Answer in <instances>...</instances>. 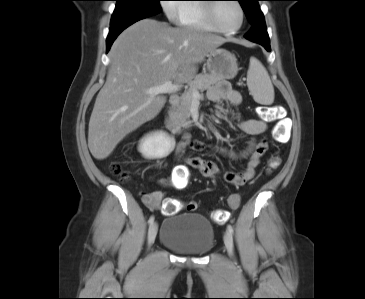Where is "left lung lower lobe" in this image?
I'll list each match as a JSON object with an SVG mask.
<instances>
[{
	"label": "left lung lower lobe",
	"mask_w": 365,
	"mask_h": 299,
	"mask_svg": "<svg viewBox=\"0 0 365 299\" xmlns=\"http://www.w3.org/2000/svg\"><path fill=\"white\" fill-rule=\"evenodd\" d=\"M245 38L261 44L267 51L271 50L265 21L253 25L251 30L245 35Z\"/></svg>",
	"instance_id": "left-lung-lower-lobe-1"
}]
</instances>
